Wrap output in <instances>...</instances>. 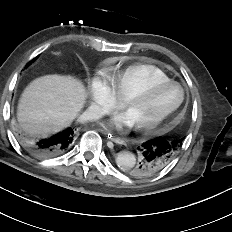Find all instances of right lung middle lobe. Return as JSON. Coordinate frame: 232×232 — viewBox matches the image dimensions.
<instances>
[{
    "label": "right lung middle lobe",
    "mask_w": 232,
    "mask_h": 232,
    "mask_svg": "<svg viewBox=\"0 0 232 232\" xmlns=\"http://www.w3.org/2000/svg\"><path fill=\"white\" fill-rule=\"evenodd\" d=\"M35 59H36V58H35ZM31 62H32V61H31ZM31 62H30L29 64H31ZM29 64H28V65H29ZM28 65H27V66H28ZM27 66H26V67H27Z\"/></svg>",
    "instance_id": "1"
}]
</instances>
